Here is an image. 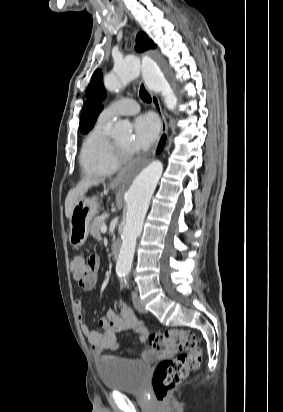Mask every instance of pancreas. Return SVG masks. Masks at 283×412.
Instances as JSON below:
<instances>
[{"instance_id": "pancreas-1", "label": "pancreas", "mask_w": 283, "mask_h": 412, "mask_svg": "<svg viewBox=\"0 0 283 412\" xmlns=\"http://www.w3.org/2000/svg\"><path fill=\"white\" fill-rule=\"evenodd\" d=\"M103 225H105V220L104 219H102V218L94 219L91 226H90V234L94 238H99L100 237V228Z\"/></svg>"}]
</instances>
